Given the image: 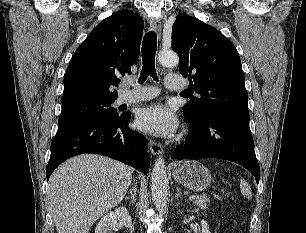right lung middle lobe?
<instances>
[{
	"label": "right lung middle lobe",
	"mask_w": 306,
	"mask_h": 233,
	"mask_svg": "<svg viewBox=\"0 0 306 233\" xmlns=\"http://www.w3.org/2000/svg\"><path fill=\"white\" fill-rule=\"evenodd\" d=\"M113 103L114 100L88 98L62 104L58 129L94 117L119 118L122 114L119 115L112 107Z\"/></svg>",
	"instance_id": "1"
}]
</instances>
